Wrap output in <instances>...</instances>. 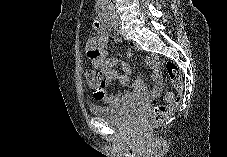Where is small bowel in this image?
<instances>
[{"instance_id":"obj_1","label":"small bowel","mask_w":227,"mask_h":157,"mask_svg":"<svg viewBox=\"0 0 227 157\" xmlns=\"http://www.w3.org/2000/svg\"><path fill=\"white\" fill-rule=\"evenodd\" d=\"M131 45L136 47L133 43ZM108 51V39L103 33L92 37L86 44V52L92 65L104 76L101 86L93 91L95 100L113 107H119L135 101L151 100L158 95L161 87V75L155 65V56L148 61V64L153 67L151 73L153 86L150 90H147L141 79H134L130 76V69L127 64H123L124 72L119 74L115 69L118 60L109 58ZM112 80H118L122 85L130 87L131 91L108 93L107 86Z\"/></svg>"}]
</instances>
